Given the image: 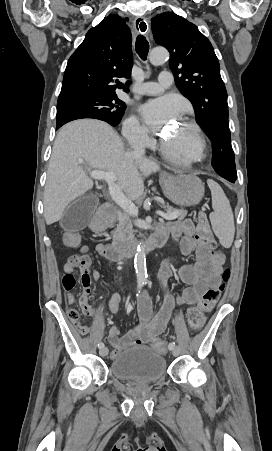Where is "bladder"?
<instances>
[{
	"instance_id": "1",
	"label": "bladder",
	"mask_w": 272,
	"mask_h": 451,
	"mask_svg": "<svg viewBox=\"0 0 272 451\" xmlns=\"http://www.w3.org/2000/svg\"><path fill=\"white\" fill-rule=\"evenodd\" d=\"M165 373V356L142 346L120 353L110 363L111 376L120 382L154 383L164 378Z\"/></svg>"
}]
</instances>
